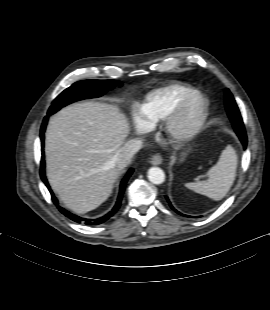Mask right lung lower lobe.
<instances>
[{
	"label": "right lung lower lobe",
	"mask_w": 270,
	"mask_h": 310,
	"mask_svg": "<svg viewBox=\"0 0 270 310\" xmlns=\"http://www.w3.org/2000/svg\"><path fill=\"white\" fill-rule=\"evenodd\" d=\"M47 120H48V116H46L43 120V123H42V127H41V131H40V138H41V142H42V159H41V170H40V175H41V179L43 180V182L45 183V185L47 186V188L49 189L50 193H51V196H52V200L54 202L55 205H57L58 209L67 217H69L71 220L77 222V223H84L86 225H98V224H101L105 221H107L110 217H112L117 211L118 209L120 208V205H121V200H122V197H123V193L125 191V186H126V183L129 179V177L131 176L132 172H133V169H130L128 171V173L126 174V176L123 178L122 182H121V185H120V192H119V196H118V199H117V202L115 204V206L113 207V209L108 212L107 214H105L104 216L100 217V218H97V219H86V218H81L79 216H76L68 211H66L65 209L61 208L60 206H58V201L57 199L55 198L52 190L50 189V186L47 182V179L45 177V171H44V168H45V165H44V156H43V146H44V132H45V128H46V124H47Z\"/></svg>",
	"instance_id": "obj_1"
}]
</instances>
